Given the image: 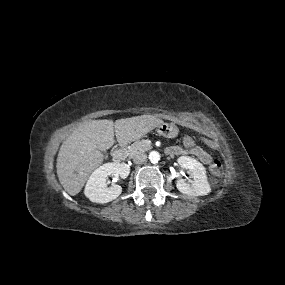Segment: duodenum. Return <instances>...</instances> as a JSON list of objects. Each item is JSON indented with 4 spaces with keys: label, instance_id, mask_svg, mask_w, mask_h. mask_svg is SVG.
<instances>
[{
    "label": "duodenum",
    "instance_id": "410a0bca",
    "mask_svg": "<svg viewBox=\"0 0 285 285\" xmlns=\"http://www.w3.org/2000/svg\"><path fill=\"white\" fill-rule=\"evenodd\" d=\"M112 157H113L114 161H116V162L123 161L124 158L126 157L125 145L122 143L117 144L112 151Z\"/></svg>",
    "mask_w": 285,
    "mask_h": 285
}]
</instances>
